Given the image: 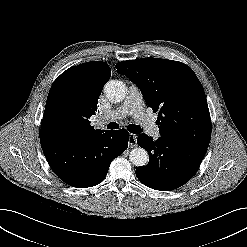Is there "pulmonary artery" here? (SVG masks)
I'll return each instance as SVG.
<instances>
[{"label": "pulmonary artery", "mask_w": 247, "mask_h": 247, "mask_svg": "<svg viewBox=\"0 0 247 247\" xmlns=\"http://www.w3.org/2000/svg\"><path fill=\"white\" fill-rule=\"evenodd\" d=\"M129 115H132L133 118L142 125L146 132L152 137H160L159 128L154 124L152 118L145 112L142 94L134 85L129 87L124 102L118 108L103 116L100 119V123H105L109 119H122Z\"/></svg>", "instance_id": "e3ab8cb5"}]
</instances>
